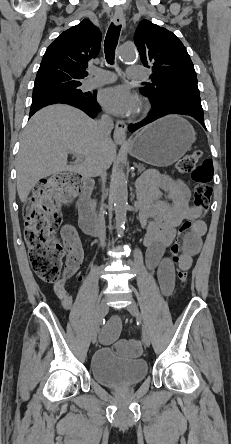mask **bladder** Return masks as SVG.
<instances>
[{
    "mask_svg": "<svg viewBox=\"0 0 231 444\" xmlns=\"http://www.w3.org/2000/svg\"><path fill=\"white\" fill-rule=\"evenodd\" d=\"M145 360L118 356L111 347L99 348L90 360V371L99 384L123 388L141 382L147 375Z\"/></svg>",
    "mask_w": 231,
    "mask_h": 444,
    "instance_id": "1",
    "label": "bladder"
}]
</instances>
